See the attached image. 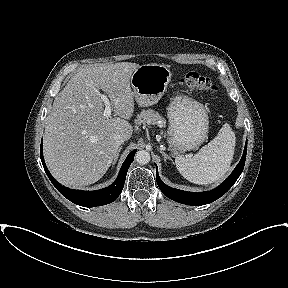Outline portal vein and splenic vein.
Listing matches in <instances>:
<instances>
[{"instance_id":"1","label":"portal vein and splenic vein","mask_w":288,"mask_h":288,"mask_svg":"<svg viewBox=\"0 0 288 288\" xmlns=\"http://www.w3.org/2000/svg\"><path fill=\"white\" fill-rule=\"evenodd\" d=\"M100 97L105 104V109L103 111V114L105 117H110L111 112H112L111 103L105 94H100Z\"/></svg>"}]
</instances>
